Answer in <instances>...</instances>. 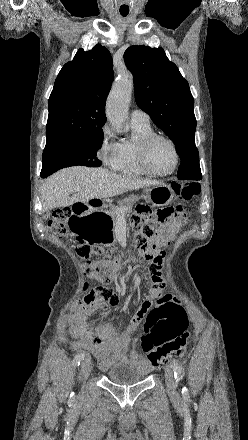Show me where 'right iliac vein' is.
I'll return each instance as SVG.
<instances>
[{"label": "right iliac vein", "mask_w": 248, "mask_h": 440, "mask_svg": "<svg viewBox=\"0 0 248 440\" xmlns=\"http://www.w3.org/2000/svg\"><path fill=\"white\" fill-rule=\"evenodd\" d=\"M92 370L91 360L86 358L81 364V373L84 379H87Z\"/></svg>", "instance_id": "1"}]
</instances>
